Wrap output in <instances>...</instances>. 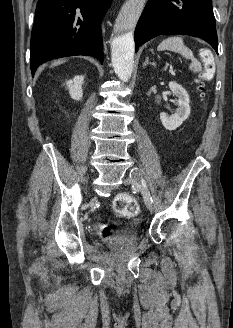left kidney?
<instances>
[{"label":"left kidney","instance_id":"left-kidney-1","mask_svg":"<svg viewBox=\"0 0 233 328\" xmlns=\"http://www.w3.org/2000/svg\"><path fill=\"white\" fill-rule=\"evenodd\" d=\"M169 88L173 95L178 98L177 100V111L172 117H168L165 112L160 113V120L162 125L167 130L177 129L183 121H185L190 115V99L187 91L176 82H169Z\"/></svg>","mask_w":233,"mask_h":328}]
</instances>
